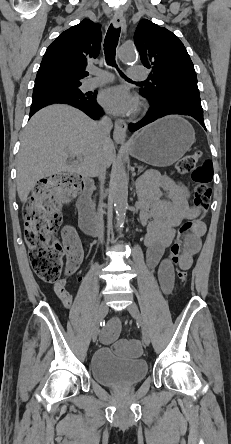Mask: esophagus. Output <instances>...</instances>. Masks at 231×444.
Wrapping results in <instances>:
<instances>
[{"label": "esophagus", "instance_id": "1", "mask_svg": "<svg viewBox=\"0 0 231 444\" xmlns=\"http://www.w3.org/2000/svg\"><path fill=\"white\" fill-rule=\"evenodd\" d=\"M113 24L116 28H121L124 33L126 22L122 12H116L113 17ZM127 124L122 119H116L114 122L113 139L118 143H124L126 140Z\"/></svg>", "mask_w": 231, "mask_h": 444}]
</instances>
